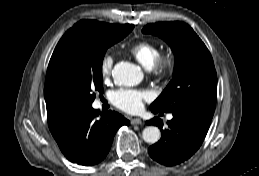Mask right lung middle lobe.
I'll use <instances>...</instances> for the list:
<instances>
[{"label":"right lung middle lobe","instance_id":"obj_1","mask_svg":"<svg viewBox=\"0 0 259 176\" xmlns=\"http://www.w3.org/2000/svg\"><path fill=\"white\" fill-rule=\"evenodd\" d=\"M133 25L108 32L69 29L56 46L57 66L71 87L76 107H88L103 90L102 62L108 47L128 35Z\"/></svg>","mask_w":259,"mask_h":176}]
</instances>
